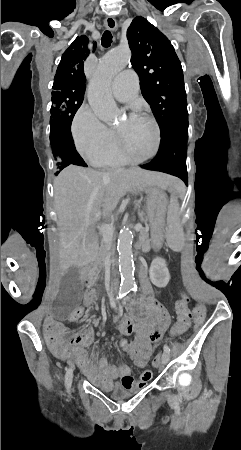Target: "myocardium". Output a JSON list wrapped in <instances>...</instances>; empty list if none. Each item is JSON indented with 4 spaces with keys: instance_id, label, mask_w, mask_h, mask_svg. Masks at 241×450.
<instances>
[{
    "instance_id": "1",
    "label": "myocardium",
    "mask_w": 241,
    "mask_h": 450,
    "mask_svg": "<svg viewBox=\"0 0 241 450\" xmlns=\"http://www.w3.org/2000/svg\"><path fill=\"white\" fill-rule=\"evenodd\" d=\"M158 122H153L152 123V126L153 127H158ZM126 132H125V130L124 129H119L118 130V132H117V142L119 143V149H121V151L122 152H120V157H122V158H130L129 157V155H128V153H127V148H125V146H124V143L126 142V140L124 139V134H125ZM155 137H154V140H152V145H155V148H153L152 149V152H151V154H152V158L153 157H156L157 156V149H160V144H159V142H161V137H160V135H161V130H159V129H157V130H155ZM141 162H147V160H140Z\"/></svg>"
}]
</instances>
